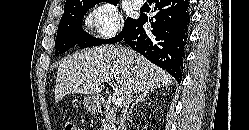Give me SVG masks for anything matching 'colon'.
<instances>
[{
  "instance_id": "colon-1",
  "label": "colon",
  "mask_w": 249,
  "mask_h": 130,
  "mask_svg": "<svg viewBox=\"0 0 249 130\" xmlns=\"http://www.w3.org/2000/svg\"><path fill=\"white\" fill-rule=\"evenodd\" d=\"M63 130H82L75 122L67 120L63 124Z\"/></svg>"
}]
</instances>
